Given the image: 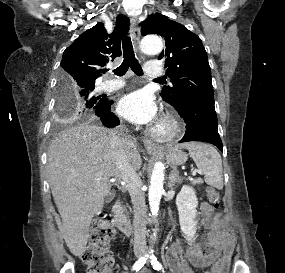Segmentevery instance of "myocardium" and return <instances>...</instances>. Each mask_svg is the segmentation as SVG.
<instances>
[{"instance_id":"1","label":"myocardium","mask_w":285,"mask_h":273,"mask_svg":"<svg viewBox=\"0 0 285 273\" xmlns=\"http://www.w3.org/2000/svg\"><path fill=\"white\" fill-rule=\"evenodd\" d=\"M182 131V123L174 112L164 114L158 123L149 131V136L158 142H168Z\"/></svg>"}]
</instances>
